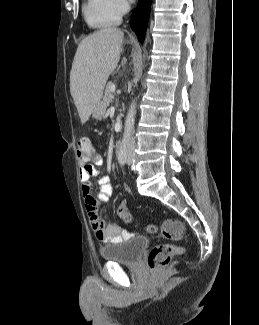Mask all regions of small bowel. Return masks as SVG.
<instances>
[{"label": "small bowel", "instance_id": "obj_1", "mask_svg": "<svg viewBox=\"0 0 259 325\" xmlns=\"http://www.w3.org/2000/svg\"><path fill=\"white\" fill-rule=\"evenodd\" d=\"M102 164L103 158L96 151H94L91 159L80 161L82 195L91 227L97 239L104 243H120L128 240L132 234L116 223L106 222L98 213L99 204L107 202L111 196L110 177L104 175L99 179V190L96 195H93L91 191V178L98 176L99 172L96 166ZM124 189L130 193V188L127 185L124 186Z\"/></svg>", "mask_w": 259, "mask_h": 325}]
</instances>
